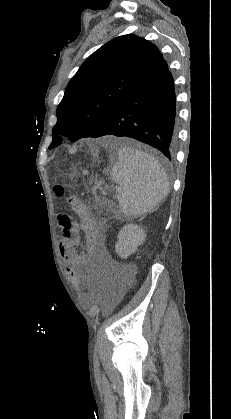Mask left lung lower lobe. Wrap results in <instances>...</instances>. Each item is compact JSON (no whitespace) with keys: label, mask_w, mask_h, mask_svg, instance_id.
<instances>
[{"label":"left lung lower lobe","mask_w":231,"mask_h":419,"mask_svg":"<svg viewBox=\"0 0 231 419\" xmlns=\"http://www.w3.org/2000/svg\"><path fill=\"white\" fill-rule=\"evenodd\" d=\"M131 137L157 148L169 160L176 143V98L172 75L163 60L150 71L90 137Z\"/></svg>","instance_id":"obj_1"}]
</instances>
